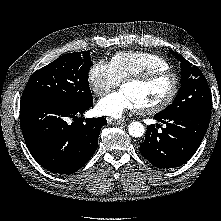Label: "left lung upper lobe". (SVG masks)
I'll return each instance as SVG.
<instances>
[{
  "label": "left lung upper lobe",
  "instance_id": "left-lung-upper-lobe-1",
  "mask_svg": "<svg viewBox=\"0 0 221 221\" xmlns=\"http://www.w3.org/2000/svg\"><path fill=\"white\" fill-rule=\"evenodd\" d=\"M171 53L181 61L182 85L174 102L159 113L167 115L192 110L211 111L212 95L203 73L178 53Z\"/></svg>",
  "mask_w": 221,
  "mask_h": 221
}]
</instances>
